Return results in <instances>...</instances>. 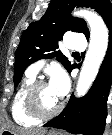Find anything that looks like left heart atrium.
I'll return each mask as SVG.
<instances>
[{"label": "left heart atrium", "mask_w": 112, "mask_h": 135, "mask_svg": "<svg viewBox=\"0 0 112 135\" xmlns=\"http://www.w3.org/2000/svg\"><path fill=\"white\" fill-rule=\"evenodd\" d=\"M49 86L58 98H62L66 94L69 86L66 74L61 70L55 71L51 75Z\"/></svg>", "instance_id": "obj_1"}]
</instances>
